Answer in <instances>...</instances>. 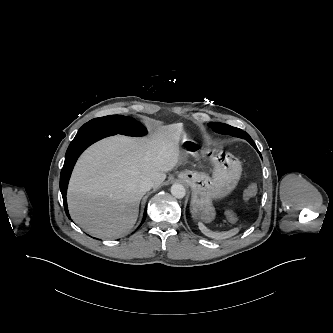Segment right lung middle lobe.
<instances>
[{"label": "right lung middle lobe", "mask_w": 333, "mask_h": 333, "mask_svg": "<svg viewBox=\"0 0 333 333\" xmlns=\"http://www.w3.org/2000/svg\"><path fill=\"white\" fill-rule=\"evenodd\" d=\"M94 129L114 131L129 136H143L147 133L146 128L138 121L122 115H110L92 119L85 123L78 132Z\"/></svg>", "instance_id": "obj_1"}]
</instances>
